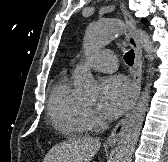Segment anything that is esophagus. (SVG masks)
<instances>
[{
	"mask_svg": "<svg viewBox=\"0 0 168 162\" xmlns=\"http://www.w3.org/2000/svg\"><path fill=\"white\" fill-rule=\"evenodd\" d=\"M123 14L125 21L129 27V33L127 36L128 42L130 46L133 48L135 52V60H134V72H133V83H134V97L131 103V106L125 116L119 120L116 124L110 135L108 136L106 143L109 145H113L123 134L126 123L131 116V113L137 103L140 90H141V81H142V50L139 42V38L136 32V22L132 18V16L124 9L122 6Z\"/></svg>",
	"mask_w": 168,
	"mask_h": 162,
	"instance_id": "34e87169",
	"label": "esophagus"
}]
</instances>
